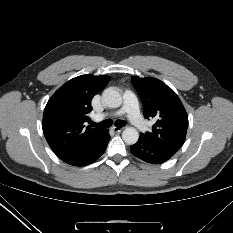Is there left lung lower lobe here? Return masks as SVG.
<instances>
[{"label":"left lung lower lobe","instance_id":"0a47b994","mask_svg":"<svg viewBox=\"0 0 233 233\" xmlns=\"http://www.w3.org/2000/svg\"><path fill=\"white\" fill-rule=\"evenodd\" d=\"M132 154L145 162L161 164L169 160L175 153L151 145L145 138L139 137L134 145L130 146Z\"/></svg>","mask_w":233,"mask_h":233}]
</instances>
